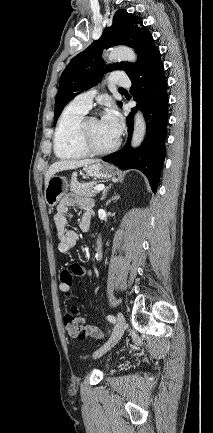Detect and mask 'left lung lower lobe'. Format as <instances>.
<instances>
[{"label": "left lung lower lobe", "instance_id": "1", "mask_svg": "<svg viewBox=\"0 0 213 433\" xmlns=\"http://www.w3.org/2000/svg\"><path fill=\"white\" fill-rule=\"evenodd\" d=\"M130 89L137 106L143 110L147 123V135L138 149L130 146L133 133V115L135 109L127 117L128 140L124 147L103 158L117 167L138 169L148 178L151 188L156 192L159 185L160 172L164 164L168 121L167 81L160 59V52L154 48L146 57L142 66L130 77Z\"/></svg>", "mask_w": 213, "mask_h": 433}]
</instances>
